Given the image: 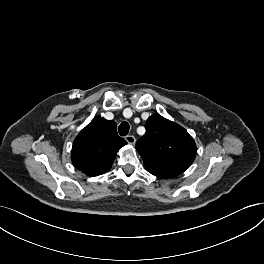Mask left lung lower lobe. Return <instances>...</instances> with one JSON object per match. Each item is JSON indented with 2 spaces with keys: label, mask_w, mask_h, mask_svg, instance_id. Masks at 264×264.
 Returning a JSON list of instances; mask_svg holds the SVG:
<instances>
[{
  "label": "left lung lower lobe",
  "mask_w": 264,
  "mask_h": 264,
  "mask_svg": "<svg viewBox=\"0 0 264 264\" xmlns=\"http://www.w3.org/2000/svg\"><path fill=\"white\" fill-rule=\"evenodd\" d=\"M145 168L147 169L149 173L161 179H170L181 173L175 170L162 169V168L148 166V165H145Z\"/></svg>",
  "instance_id": "1"
}]
</instances>
